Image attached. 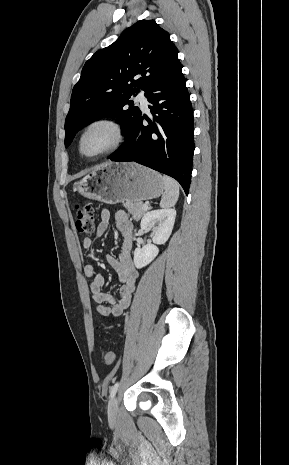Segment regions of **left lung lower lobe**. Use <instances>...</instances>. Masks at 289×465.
<instances>
[{
	"instance_id": "0a47b994",
	"label": "left lung lower lobe",
	"mask_w": 289,
	"mask_h": 465,
	"mask_svg": "<svg viewBox=\"0 0 289 465\" xmlns=\"http://www.w3.org/2000/svg\"><path fill=\"white\" fill-rule=\"evenodd\" d=\"M153 122L143 126L140 115L123 146L108 158L135 161L175 178L188 194L194 153V121L190 95L179 66L147 89Z\"/></svg>"
}]
</instances>
